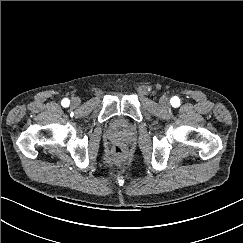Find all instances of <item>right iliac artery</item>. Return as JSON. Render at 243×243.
<instances>
[{
	"label": "right iliac artery",
	"mask_w": 243,
	"mask_h": 243,
	"mask_svg": "<svg viewBox=\"0 0 243 243\" xmlns=\"http://www.w3.org/2000/svg\"><path fill=\"white\" fill-rule=\"evenodd\" d=\"M61 103H62V105H63L64 107H67V106H69L70 101H69L68 99H63Z\"/></svg>",
	"instance_id": "right-iliac-artery-1"
}]
</instances>
